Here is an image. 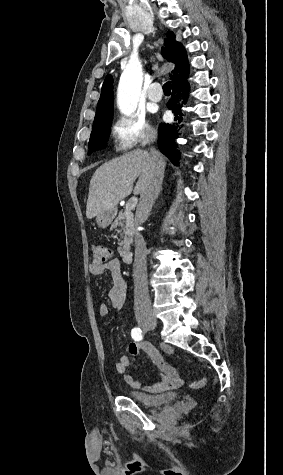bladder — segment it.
Masks as SVG:
<instances>
[{"label":"bladder","mask_w":283,"mask_h":475,"mask_svg":"<svg viewBox=\"0 0 283 475\" xmlns=\"http://www.w3.org/2000/svg\"><path fill=\"white\" fill-rule=\"evenodd\" d=\"M128 397L131 400L142 404L145 407H154L159 404H167L169 402H175L178 399L177 393H165V394H158V395H150L142 391L138 390H129Z\"/></svg>","instance_id":"31cf9c89"}]
</instances>
